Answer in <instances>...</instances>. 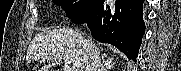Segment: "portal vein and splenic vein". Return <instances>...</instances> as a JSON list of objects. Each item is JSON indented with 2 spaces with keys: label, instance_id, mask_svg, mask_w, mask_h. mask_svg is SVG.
I'll return each instance as SVG.
<instances>
[{
  "label": "portal vein and splenic vein",
  "instance_id": "obj_1",
  "mask_svg": "<svg viewBox=\"0 0 181 71\" xmlns=\"http://www.w3.org/2000/svg\"><path fill=\"white\" fill-rule=\"evenodd\" d=\"M63 63V62H62ZM64 71H73L70 67H68L66 64L64 66Z\"/></svg>",
  "mask_w": 181,
  "mask_h": 71
}]
</instances>
